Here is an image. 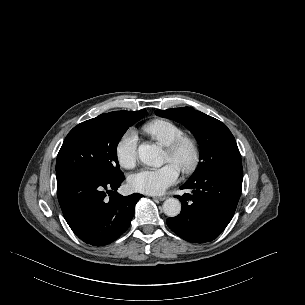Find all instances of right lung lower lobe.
I'll use <instances>...</instances> for the list:
<instances>
[{"label":"right lung lower lobe","instance_id":"obj_1","mask_svg":"<svg viewBox=\"0 0 305 305\" xmlns=\"http://www.w3.org/2000/svg\"><path fill=\"white\" fill-rule=\"evenodd\" d=\"M123 180L124 175L108 180L79 173L57 175V196L64 218L85 243L107 245L129 227L142 195H119L116 190Z\"/></svg>","mask_w":305,"mask_h":305}]
</instances>
